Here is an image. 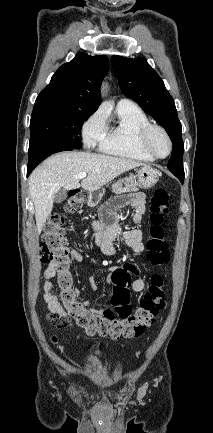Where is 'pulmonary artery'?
Wrapping results in <instances>:
<instances>
[{"instance_id":"1","label":"pulmonary artery","mask_w":213,"mask_h":433,"mask_svg":"<svg viewBox=\"0 0 213 433\" xmlns=\"http://www.w3.org/2000/svg\"><path fill=\"white\" fill-rule=\"evenodd\" d=\"M119 102H131V101L128 99H121Z\"/></svg>"}]
</instances>
